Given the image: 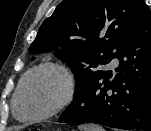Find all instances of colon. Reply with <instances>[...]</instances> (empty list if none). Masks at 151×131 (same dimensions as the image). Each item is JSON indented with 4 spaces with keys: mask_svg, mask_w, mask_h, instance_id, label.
Here are the masks:
<instances>
[{
    "mask_svg": "<svg viewBox=\"0 0 151 131\" xmlns=\"http://www.w3.org/2000/svg\"><path fill=\"white\" fill-rule=\"evenodd\" d=\"M18 131H40V130L37 128L31 127V128H21Z\"/></svg>",
    "mask_w": 151,
    "mask_h": 131,
    "instance_id": "colon-1",
    "label": "colon"
}]
</instances>
